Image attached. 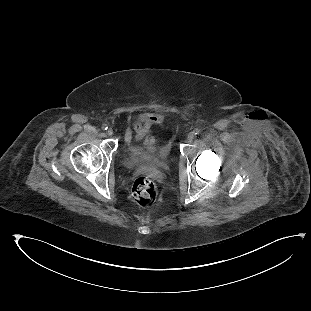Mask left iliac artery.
<instances>
[{"label": "left iliac artery", "mask_w": 311, "mask_h": 311, "mask_svg": "<svg viewBox=\"0 0 311 311\" xmlns=\"http://www.w3.org/2000/svg\"><path fill=\"white\" fill-rule=\"evenodd\" d=\"M193 133H194L195 135H198V134L200 133V130H199V129H195V130L193 131Z\"/></svg>", "instance_id": "obj_1"}]
</instances>
